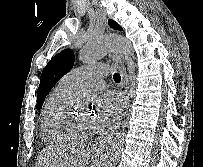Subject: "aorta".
Wrapping results in <instances>:
<instances>
[{"instance_id":"762f6f07","label":"aorta","mask_w":203,"mask_h":167,"mask_svg":"<svg viewBox=\"0 0 203 167\" xmlns=\"http://www.w3.org/2000/svg\"><path fill=\"white\" fill-rule=\"evenodd\" d=\"M128 40L119 35H106L88 41L80 50L79 58L85 64L93 63L111 52L131 53ZM124 147V133L111 135L106 141L99 167H115Z\"/></svg>"}]
</instances>
